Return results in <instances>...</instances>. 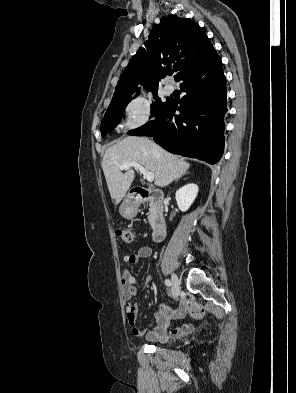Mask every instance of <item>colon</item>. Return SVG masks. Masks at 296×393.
<instances>
[{
  "instance_id": "obj_1",
  "label": "colon",
  "mask_w": 296,
  "mask_h": 393,
  "mask_svg": "<svg viewBox=\"0 0 296 393\" xmlns=\"http://www.w3.org/2000/svg\"><path fill=\"white\" fill-rule=\"evenodd\" d=\"M116 235L118 238L121 239V241L124 244L129 245L133 243L134 240L133 232L128 229L117 228ZM186 305L192 316L199 318L203 315V308L198 303L194 301H187Z\"/></svg>"
}]
</instances>
